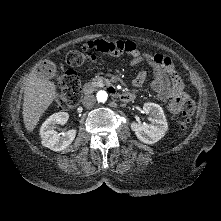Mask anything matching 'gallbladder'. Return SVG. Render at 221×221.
Segmentation results:
<instances>
[{"label": "gallbladder", "mask_w": 221, "mask_h": 221, "mask_svg": "<svg viewBox=\"0 0 221 221\" xmlns=\"http://www.w3.org/2000/svg\"><path fill=\"white\" fill-rule=\"evenodd\" d=\"M48 64V68L43 69V67H40V69L36 71L37 77L48 80L54 78L57 75L55 65L50 62Z\"/></svg>", "instance_id": "obj_1"}]
</instances>
